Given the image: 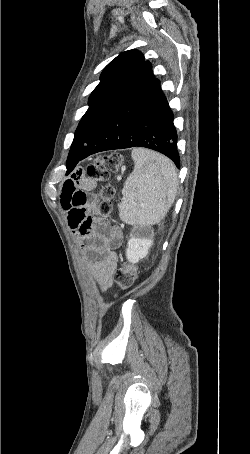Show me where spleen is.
<instances>
[{"label":"spleen","mask_w":250,"mask_h":454,"mask_svg":"<svg viewBox=\"0 0 250 454\" xmlns=\"http://www.w3.org/2000/svg\"><path fill=\"white\" fill-rule=\"evenodd\" d=\"M134 170L125 181L120 219L134 226L159 223L172 206L177 192L175 165L159 153L134 148Z\"/></svg>","instance_id":"1"}]
</instances>
